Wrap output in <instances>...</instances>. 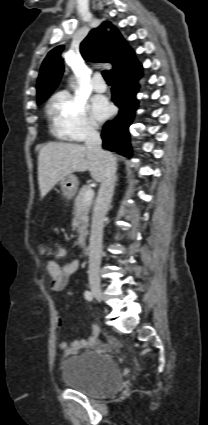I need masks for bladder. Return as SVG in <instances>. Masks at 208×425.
Returning a JSON list of instances; mask_svg holds the SVG:
<instances>
[{"mask_svg":"<svg viewBox=\"0 0 208 425\" xmlns=\"http://www.w3.org/2000/svg\"><path fill=\"white\" fill-rule=\"evenodd\" d=\"M62 379L66 385L91 397H106L121 385L122 375L111 356L88 351L62 361Z\"/></svg>","mask_w":208,"mask_h":425,"instance_id":"bladder-1","label":"bladder"}]
</instances>
